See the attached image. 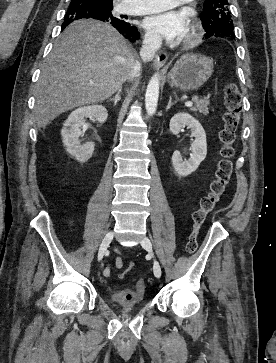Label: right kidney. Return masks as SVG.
<instances>
[{"mask_svg":"<svg viewBox=\"0 0 276 363\" xmlns=\"http://www.w3.org/2000/svg\"><path fill=\"white\" fill-rule=\"evenodd\" d=\"M93 118L98 123L107 120V109L102 105H89L74 110L63 124L61 135L68 154L81 163L87 162L94 151L95 144L87 142L81 144L79 138L83 136L80 128L85 124L84 118Z\"/></svg>","mask_w":276,"mask_h":363,"instance_id":"obj_1","label":"right kidney"}]
</instances>
